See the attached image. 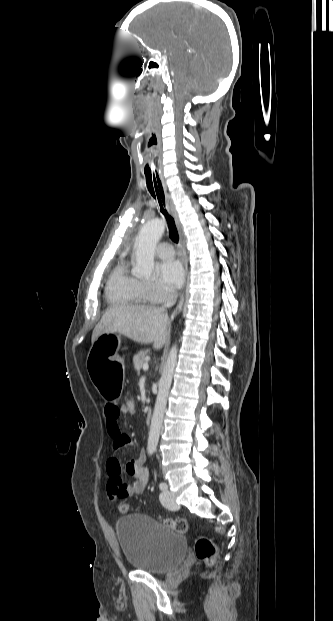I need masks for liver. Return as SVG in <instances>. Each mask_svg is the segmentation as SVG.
I'll return each instance as SVG.
<instances>
[{
    "label": "liver",
    "mask_w": 333,
    "mask_h": 621,
    "mask_svg": "<svg viewBox=\"0 0 333 621\" xmlns=\"http://www.w3.org/2000/svg\"><path fill=\"white\" fill-rule=\"evenodd\" d=\"M169 324L167 314L154 306H115L102 316L91 341L93 344L105 333H119L137 343H153V348L159 350L167 340Z\"/></svg>",
    "instance_id": "6515ba94"
}]
</instances>
